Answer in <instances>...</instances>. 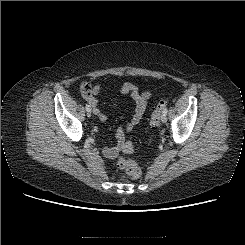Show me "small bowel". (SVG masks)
<instances>
[{"label": "small bowel", "instance_id": "obj_1", "mask_svg": "<svg viewBox=\"0 0 245 245\" xmlns=\"http://www.w3.org/2000/svg\"><path fill=\"white\" fill-rule=\"evenodd\" d=\"M102 86L96 85L93 87L90 96L87 97V101L93 108V113L98 116L101 121L106 120V115L101 112L97 107L96 95L101 91ZM119 91L122 94H131L135 101V109L131 119L117 131L118 143L114 147H105L103 149V155L107 158H115L121 148V143L124 140V132L130 131L134 126H136L142 119L145 110L147 108L148 101L151 97L150 92L140 91L138 87L132 83H125L119 87Z\"/></svg>", "mask_w": 245, "mask_h": 245}]
</instances>
